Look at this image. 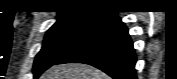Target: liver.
Segmentation results:
<instances>
[{
    "mask_svg": "<svg viewBox=\"0 0 177 79\" xmlns=\"http://www.w3.org/2000/svg\"><path fill=\"white\" fill-rule=\"evenodd\" d=\"M41 79H108V76L86 64H61L49 68Z\"/></svg>",
    "mask_w": 177,
    "mask_h": 79,
    "instance_id": "liver-1",
    "label": "liver"
}]
</instances>
